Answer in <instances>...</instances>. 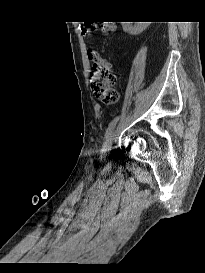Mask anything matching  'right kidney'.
Listing matches in <instances>:
<instances>
[{"instance_id":"obj_1","label":"right kidney","mask_w":205,"mask_h":273,"mask_svg":"<svg viewBox=\"0 0 205 273\" xmlns=\"http://www.w3.org/2000/svg\"><path fill=\"white\" fill-rule=\"evenodd\" d=\"M135 23L136 25L132 26L130 24ZM150 22H122L123 30L130 34H139L147 28Z\"/></svg>"}]
</instances>
